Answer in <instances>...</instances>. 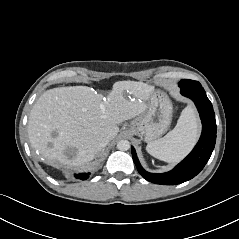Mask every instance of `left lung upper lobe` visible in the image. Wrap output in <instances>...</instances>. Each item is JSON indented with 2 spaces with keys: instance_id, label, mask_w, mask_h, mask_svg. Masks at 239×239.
<instances>
[{
  "instance_id": "obj_1",
  "label": "left lung upper lobe",
  "mask_w": 239,
  "mask_h": 239,
  "mask_svg": "<svg viewBox=\"0 0 239 239\" xmlns=\"http://www.w3.org/2000/svg\"><path fill=\"white\" fill-rule=\"evenodd\" d=\"M180 87L186 86V87H192L194 85H200L199 82L193 81L190 79H183L179 82Z\"/></svg>"
}]
</instances>
